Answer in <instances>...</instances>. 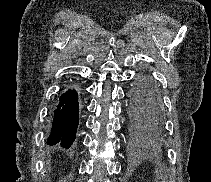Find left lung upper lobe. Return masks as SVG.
Instances as JSON below:
<instances>
[{
	"label": "left lung upper lobe",
	"mask_w": 211,
	"mask_h": 182,
	"mask_svg": "<svg viewBox=\"0 0 211 182\" xmlns=\"http://www.w3.org/2000/svg\"><path fill=\"white\" fill-rule=\"evenodd\" d=\"M131 111H132L134 120H135L136 122H138L139 124L143 125V126L148 130L149 133H153V132L150 130V128L138 118L136 109H135L133 106H132V110H131Z\"/></svg>",
	"instance_id": "5c2ea615"
}]
</instances>
